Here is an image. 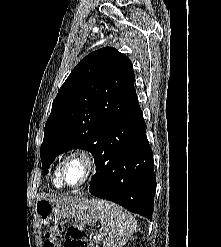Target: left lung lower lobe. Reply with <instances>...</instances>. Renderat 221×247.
Here are the masks:
<instances>
[{
  "mask_svg": "<svg viewBox=\"0 0 221 247\" xmlns=\"http://www.w3.org/2000/svg\"><path fill=\"white\" fill-rule=\"evenodd\" d=\"M141 109L106 126L89 192L152 219L156 177Z\"/></svg>",
  "mask_w": 221,
  "mask_h": 247,
  "instance_id": "1",
  "label": "left lung lower lobe"
}]
</instances>
